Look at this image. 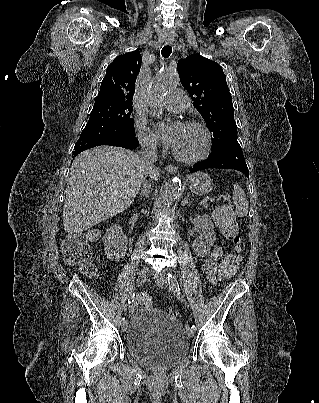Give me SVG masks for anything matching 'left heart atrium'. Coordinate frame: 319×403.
Returning a JSON list of instances; mask_svg holds the SVG:
<instances>
[{"mask_svg":"<svg viewBox=\"0 0 319 403\" xmlns=\"http://www.w3.org/2000/svg\"><path fill=\"white\" fill-rule=\"evenodd\" d=\"M157 130L162 141L168 146L175 148L181 138L183 125L179 122H174L168 126L159 123L157 124Z\"/></svg>","mask_w":319,"mask_h":403,"instance_id":"1","label":"left heart atrium"}]
</instances>
